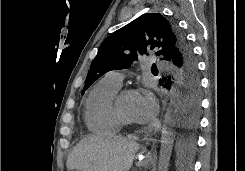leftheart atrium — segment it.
Wrapping results in <instances>:
<instances>
[{
  "mask_svg": "<svg viewBox=\"0 0 245 171\" xmlns=\"http://www.w3.org/2000/svg\"><path fill=\"white\" fill-rule=\"evenodd\" d=\"M157 102L152 95H139L134 110L135 121L145 123L155 117L157 113Z\"/></svg>",
  "mask_w": 245,
  "mask_h": 171,
  "instance_id": "1",
  "label": "left heart atrium"
}]
</instances>
